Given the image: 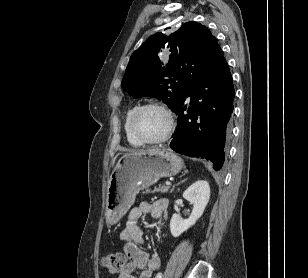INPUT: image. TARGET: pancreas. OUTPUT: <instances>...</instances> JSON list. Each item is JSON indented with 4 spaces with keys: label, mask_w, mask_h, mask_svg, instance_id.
<instances>
[{
    "label": "pancreas",
    "mask_w": 308,
    "mask_h": 278,
    "mask_svg": "<svg viewBox=\"0 0 308 278\" xmlns=\"http://www.w3.org/2000/svg\"><path fill=\"white\" fill-rule=\"evenodd\" d=\"M169 189V186L160 185L159 188H155L153 192H162L166 193Z\"/></svg>",
    "instance_id": "pancreas-1"
}]
</instances>
